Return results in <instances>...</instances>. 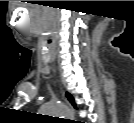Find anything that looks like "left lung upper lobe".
<instances>
[{
  "instance_id": "1",
  "label": "left lung upper lobe",
  "mask_w": 134,
  "mask_h": 123,
  "mask_svg": "<svg viewBox=\"0 0 134 123\" xmlns=\"http://www.w3.org/2000/svg\"><path fill=\"white\" fill-rule=\"evenodd\" d=\"M66 95H67L69 101L72 103V105H73L74 107H76V105H75V103H74L73 97H72L69 93H67Z\"/></svg>"
}]
</instances>
